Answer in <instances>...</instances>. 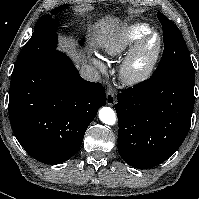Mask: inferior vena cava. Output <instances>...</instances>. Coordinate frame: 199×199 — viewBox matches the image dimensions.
Segmentation results:
<instances>
[{"mask_svg":"<svg viewBox=\"0 0 199 199\" xmlns=\"http://www.w3.org/2000/svg\"><path fill=\"white\" fill-rule=\"evenodd\" d=\"M80 75L84 80L98 82L100 81V74L93 67L84 65L81 67Z\"/></svg>","mask_w":199,"mask_h":199,"instance_id":"obj_1","label":"inferior vena cava"}]
</instances>
